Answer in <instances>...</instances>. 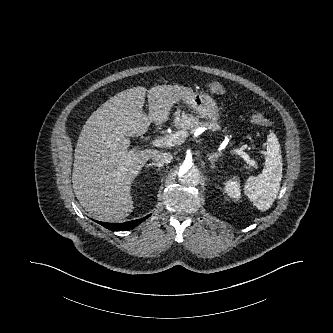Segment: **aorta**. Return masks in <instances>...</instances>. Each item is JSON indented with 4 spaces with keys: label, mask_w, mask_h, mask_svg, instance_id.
<instances>
[{
    "label": "aorta",
    "mask_w": 333,
    "mask_h": 333,
    "mask_svg": "<svg viewBox=\"0 0 333 333\" xmlns=\"http://www.w3.org/2000/svg\"><path fill=\"white\" fill-rule=\"evenodd\" d=\"M178 176L183 184L189 186H195L200 181V171L190 161H183L179 164Z\"/></svg>",
    "instance_id": "762f6f07"
}]
</instances>
